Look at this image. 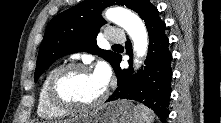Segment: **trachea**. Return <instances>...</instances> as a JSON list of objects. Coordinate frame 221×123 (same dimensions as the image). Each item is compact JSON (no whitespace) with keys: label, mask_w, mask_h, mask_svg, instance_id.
Masks as SVG:
<instances>
[{"label":"trachea","mask_w":221,"mask_h":123,"mask_svg":"<svg viewBox=\"0 0 221 123\" xmlns=\"http://www.w3.org/2000/svg\"><path fill=\"white\" fill-rule=\"evenodd\" d=\"M114 46H120V45L116 44V45H114Z\"/></svg>","instance_id":"1"}]
</instances>
